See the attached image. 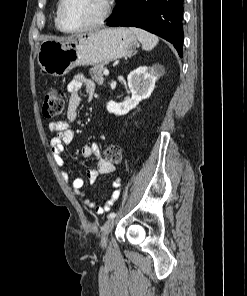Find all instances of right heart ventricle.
I'll return each mask as SVG.
<instances>
[{
    "mask_svg": "<svg viewBox=\"0 0 247 296\" xmlns=\"http://www.w3.org/2000/svg\"><path fill=\"white\" fill-rule=\"evenodd\" d=\"M54 23H55L56 28H58V27H57V24H56V17H55V19H54ZM58 29H59V28H58Z\"/></svg>",
    "mask_w": 247,
    "mask_h": 296,
    "instance_id": "obj_1",
    "label": "right heart ventricle"
}]
</instances>
